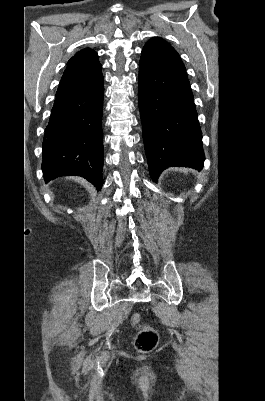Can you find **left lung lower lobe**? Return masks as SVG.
Here are the masks:
<instances>
[{"instance_id":"left-lung-lower-lobe-1","label":"left lung lower lobe","mask_w":265,"mask_h":401,"mask_svg":"<svg viewBox=\"0 0 265 401\" xmlns=\"http://www.w3.org/2000/svg\"><path fill=\"white\" fill-rule=\"evenodd\" d=\"M138 78L139 110L152 180L157 181L171 166L200 170L205 159L202 132L186 71L141 59Z\"/></svg>"}]
</instances>
